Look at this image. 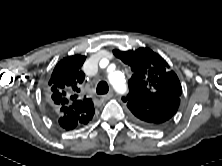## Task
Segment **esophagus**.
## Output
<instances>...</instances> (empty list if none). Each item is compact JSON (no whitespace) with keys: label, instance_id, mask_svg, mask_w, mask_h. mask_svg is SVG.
Segmentation results:
<instances>
[{"label":"esophagus","instance_id":"34e87169","mask_svg":"<svg viewBox=\"0 0 222 166\" xmlns=\"http://www.w3.org/2000/svg\"><path fill=\"white\" fill-rule=\"evenodd\" d=\"M112 96H113V92L111 91L108 94L103 95L102 99L106 101V100H109L110 98H112Z\"/></svg>","mask_w":222,"mask_h":166}]
</instances>
